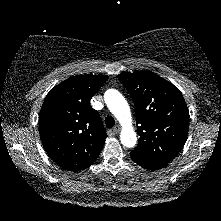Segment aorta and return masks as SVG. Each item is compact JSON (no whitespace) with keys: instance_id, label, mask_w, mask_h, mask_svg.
Masks as SVG:
<instances>
[{"instance_id":"762f6f07","label":"aorta","mask_w":221,"mask_h":221,"mask_svg":"<svg viewBox=\"0 0 221 221\" xmlns=\"http://www.w3.org/2000/svg\"><path fill=\"white\" fill-rule=\"evenodd\" d=\"M104 100L110 112L122 125L121 143L127 148L134 147L137 142V136L132 127V116L126 99L119 91L109 89L104 94Z\"/></svg>"}]
</instances>
